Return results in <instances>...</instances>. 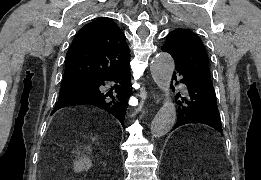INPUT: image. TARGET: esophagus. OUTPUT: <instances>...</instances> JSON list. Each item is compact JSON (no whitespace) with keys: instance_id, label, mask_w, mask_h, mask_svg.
I'll use <instances>...</instances> for the list:
<instances>
[{"instance_id":"34e87169","label":"esophagus","mask_w":261,"mask_h":180,"mask_svg":"<svg viewBox=\"0 0 261 180\" xmlns=\"http://www.w3.org/2000/svg\"><path fill=\"white\" fill-rule=\"evenodd\" d=\"M160 100H161V99L158 97V98H157V100H156V101H157V103H159V102H160Z\"/></svg>"}]
</instances>
